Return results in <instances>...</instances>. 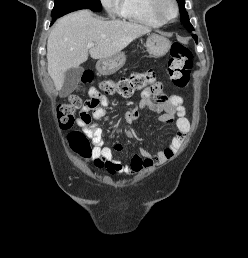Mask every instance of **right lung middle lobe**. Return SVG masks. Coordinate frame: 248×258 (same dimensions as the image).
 Returning a JSON list of instances; mask_svg holds the SVG:
<instances>
[{
	"instance_id": "right-lung-middle-lobe-1",
	"label": "right lung middle lobe",
	"mask_w": 248,
	"mask_h": 258,
	"mask_svg": "<svg viewBox=\"0 0 248 258\" xmlns=\"http://www.w3.org/2000/svg\"><path fill=\"white\" fill-rule=\"evenodd\" d=\"M101 8L100 0H55L51 13L52 21L76 10L90 9L100 12Z\"/></svg>"
}]
</instances>
